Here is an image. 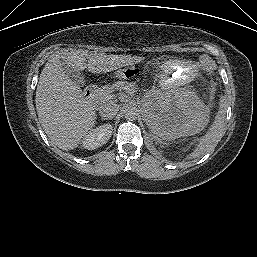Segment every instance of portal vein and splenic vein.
I'll use <instances>...</instances> for the list:
<instances>
[{
	"mask_svg": "<svg viewBox=\"0 0 257 257\" xmlns=\"http://www.w3.org/2000/svg\"><path fill=\"white\" fill-rule=\"evenodd\" d=\"M124 90L128 93V94H133V91L131 90V89H129V88H124ZM110 97H111V95H110Z\"/></svg>",
	"mask_w": 257,
	"mask_h": 257,
	"instance_id": "obj_1",
	"label": "portal vein and splenic vein"
}]
</instances>
